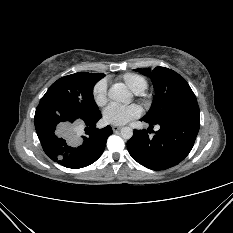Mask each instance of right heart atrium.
<instances>
[{
    "mask_svg": "<svg viewBox=\"0 0 233 233\" xmlns=\"http://www.w3.org/2000/svg\"><path fill=\"white\" fill-rule=\"evenodd\" d=\"M92 98L94 103L102 107L107 102V89L104 81H99L92 90Z\"/></svg>",
    "mask_w": 233,
    "mask_h": 233,
    "instance_id": "1",
    "label": "right heart atrium"
}]
</instances>
